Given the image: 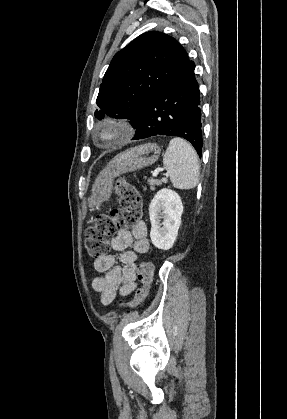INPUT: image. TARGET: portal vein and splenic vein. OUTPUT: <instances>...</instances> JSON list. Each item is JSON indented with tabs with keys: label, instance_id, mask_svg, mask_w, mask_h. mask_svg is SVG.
I'll list each match as a JSON object with an SVG mask.
<instances>
[{
	"label": "portal vein and splenic vein",
	"instance_id": "18ae733b",
	"mask_svg": "<svg viewBox=\"0 0 287 419\" xmlns=\"http://www.w3.org/2000/svg\"><path fill=\"white\" fill-rule=\"evenodd\" d=\"M160 171H163V169H156V170L153 172V174H152V175H153V177H156V176L159 174V172H160ZM166 181H167V180L164 178V179H163V182H166Z\"/></svg>",
	"mask_w": 287,
	"mask_h": 419
}]
</instances>
